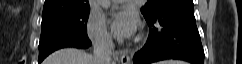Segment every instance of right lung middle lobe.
Wrapping results in <instances>:
<instances>
[{"mask_svg":"<svg viewBox=\"0 0 242 64\" xmlns=\"http://www.w3.org/2000/svg\"><path fill=\"white\" fill-rule=\"evenodd\" d=\"M90 9L42 14L39 60L64 47L86 48L91 44L86 23Z\"/></svg>","mask_w":242,"mask_h":64,"instance_id":"obj_1","label":"right lung middle lobe"}]
</instances>
